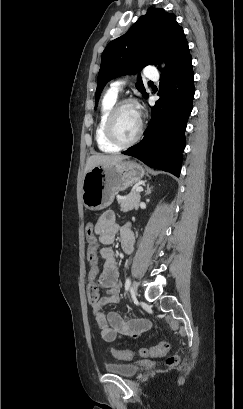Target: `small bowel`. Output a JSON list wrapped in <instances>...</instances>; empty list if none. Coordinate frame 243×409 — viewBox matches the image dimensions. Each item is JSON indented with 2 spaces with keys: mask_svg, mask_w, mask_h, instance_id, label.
I'll list each match as a JSON object with an SVG mask.
<instances>
[{
  "mask_svg": "<svg viewBox=\"0 0 243 409\" xmlns=\"http://www.w3.org/2000/svg\"><path fill=\"white\" fill-rule=\"evenodd\" d=\"M94 233L97 235L102 247L93 259H89L91 269L89 272L88 286L102 288L107 293L102 296L96 304H92V313L96 321L97 328L101 338L106 342L116 340L118 334L129 337H138L141 333L147 331L150 327L148 319H135L126 322L116 311L104 312V307L109 304H115L119 301L120 283L117 262L112 248V244L118 233L121 234L122 246L126 253H130L134 244V233L127 225H120L116 220V215L112 211L103 213L94 227ZM102 258L103 268L98 275L97 262ZM97 278V280H95Z\"/></svg>",
  "mask_w": 243,
  "mask_h": 409,
  "instance_id": "obj_1",
  "label": "small bowel"
}]
</instances>
